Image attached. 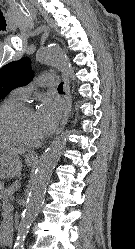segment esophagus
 <instances>
[{"label": "esophagus", "mask_w": 135, "mask_h": 249, "mask_svg": "<svg viewBox=\"0 0 135 249\" xmlns=\"http://www.w3.org/2000/svg\"><path fill=\"white\" fill-rule=\"evenodd\" d=\"M63 81H64V94H65V99H66V103H67V108L64 114V117L62 119L60 128L57 131V134L61 133V131L64 129L68 118L70 116V112H71V107H72V97H71V93H70V86H69V81L67 79V77L63 74ZM32 157H34V155H32Z\"/></svg>", "instance_id": "34e87169"}]
</instances>
